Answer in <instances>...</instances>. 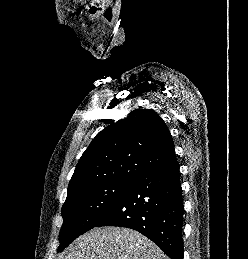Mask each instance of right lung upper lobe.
<instances>
[{
	"mask_svg": "<svg viewBox=\"0 0 248 259\" xmlns=\"http://www.w3.org/2000/svg\"><path fill=\"white\" fill-rule=\"evenodd\" d=\"M176 161L170 131L150 109H136L92 140L81 156L68 191L112 180L133 182Z\"/></svg>",
	"mask_w": 248,
	"mask_h": 259,
	"instance_id": "obj_1",
	"label": "right lung upper lobe"
}]
</instances>
